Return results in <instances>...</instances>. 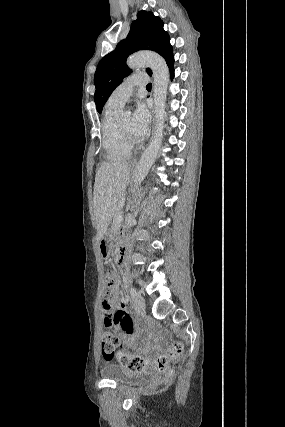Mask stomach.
<instances>
[{"mask_svg": "<svg viewBox=\"0 0 285 427\" xmlns=\"http://www.w3.org/2000/svg\"><path fill=\"white\" fill-rule=\"evenodd\" d=\"M113 234L106 232L99 241V249L102 257L108 258L112 250Z\"/></svg>", "mask_w": 285, "mask_h": 427, "instance_id": "1", "label": "stomach"}]
</instances>
